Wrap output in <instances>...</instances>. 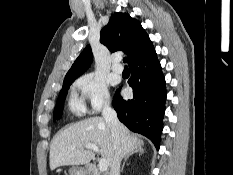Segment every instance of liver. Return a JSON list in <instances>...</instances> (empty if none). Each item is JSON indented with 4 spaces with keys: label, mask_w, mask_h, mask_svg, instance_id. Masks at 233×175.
<instances>
[{
    "label": "liver",
    "mask_w": 233,
    "mask_h": 175,
    "mask_svg": "<svg viewBox=\"0 0 233 175\" xmlns=\"http://www.w3.org/2000/svg\"><path fill=\"white\" fill-rule=\"evenodd\" d=\"M86 144L99 147L101 155L111 167L117 152L111 127L103 118L92 117L72 124L53 139L50 146V169L88 164L95 155L91 149H85ZM142 144L137 136H131L128 128L120 124L121 158Z\"/></svg>",
    "instance_id": "1"
}]
</instances>
